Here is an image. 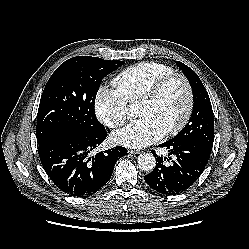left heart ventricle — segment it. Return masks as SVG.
Wrapping results in <instances>:
<instances>
[{"instance_id": "left-heart-ventricle-1", "label": "left heart ventricle", "mask_w": 249, "mask_h": 249, "mask_svg": "<svg viewBox=\"0 0 249 249\" xmlns=\"http://www.w3.org/2000/svg\"><path fill=\"white\" fill-rule=\"evenodd\" d=\"M186 106V93L179 80L169 82L156 100L140 101L137 114L154 118L164 131L173 127L182 117Z\"/></svg>"}]
</instances>
